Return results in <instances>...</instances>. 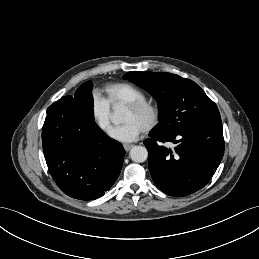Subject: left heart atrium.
Masks as SVG:
<instances>
[{
  "instance_id": "obj_1",
  "label": "left heart atrium",
  "mask_w": 259,
  "mask_h": 259,
  "mask_svg": "<svg viewBox=\"0 0 259 259\" xmlns=\"http://www.w3.org/2000/svg\"><path fill=\"white\" fill-rule=\"evenodd\" d=\"M142 129L132 121H125L110 131V136L123 142H132L139 138Z\"/></svg>"
}]
</instances>
